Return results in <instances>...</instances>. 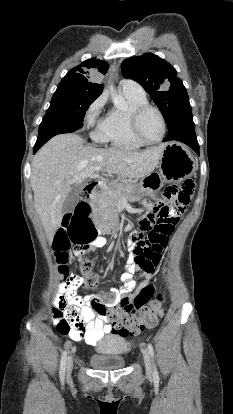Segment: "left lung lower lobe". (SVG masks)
I'll return each mask as SVG.
<instances>
[{"instance_id":"0a47b994","label":"left lung lower lobe","mask_w":233,"mask_h":414,"mask_svg":"<svg viewBox=\"0 0 233 414\" xmlns=\"http://www.w3.org/2000/svg\"><path fill=\"white\" fill-rule=\"evenodd\" d=\"M163 141H180L199 154V144L195 134L191 107L184 109L176 116L175 120L168 126V133Z\"/></svg>"}]
</instances>
